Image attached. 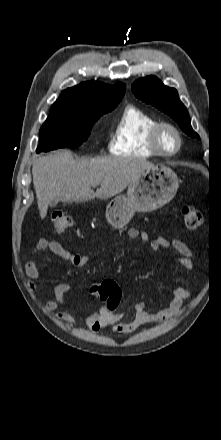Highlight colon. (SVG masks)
Returning a JSON list of instances; mask_svg holds the SVG:
<instances>
[{"label": "colon", "mask_w": 221, "mask_h": 440, "mask_svg": "<svg viewBox=\"0 0 221 440\" xmlns=\"http://www.w3.org/2000/svg\"><path fill=\"white\" fill-rule=\"evenodd\" d=\"M181 215L184 224L189 229H196L202 224L201 212L192 205H183ZM75 223L74 217L65 210H56L51 214V224L57 234H65ZM92 294L105 302L109 315H116L118 302L121 297V288L114 280H105L96 283L91 288Z\"/></svg>", "instance_id": "1"}]
</instances>
